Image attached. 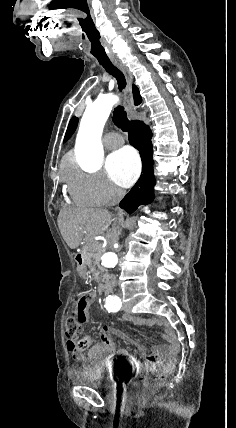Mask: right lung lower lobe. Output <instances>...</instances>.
Listing matches in <instances>:
<instances>
[{"mask_svg": "<svg viewBox=\"0 0 236 428\" xmlns=\"http://www.w3.org/2000/svg\"><path fill=\"white\" fill-rule=\"evenodd\" d=\"M152 133L142 121L131 123L129 133L130 144L137 148L142 158V175L140 180L120 202L119 206L128 213L134 212L138 206L150 204L154 200L155 178L153 174Z\"/></svg>", "mask_w": 236, "mask_h": 428, "instance_id": "obj_1", "label": "right lung lower lobe"}]
</instances>
